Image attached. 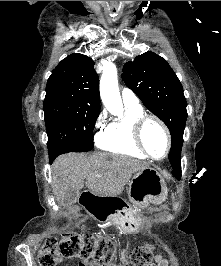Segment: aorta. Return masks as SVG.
<instances>
[{
    "instance_id": "762f6f07",
    "label": "aorta",
    "mask_w": 221,
    "mask_h": 266,
    "mask_svg": "<svg viewBox=\"0 0 221 266\" xmlns=\"http://www.w3.org/2000/svg\"><path fill=\"white\" fill-rule=\"evenodd\" d=\"M100 96L106 109L113 115L123 116V104L118 88L117 68L113 63L103 67L100 79Z\"/></svg>"
}]
</instances>
